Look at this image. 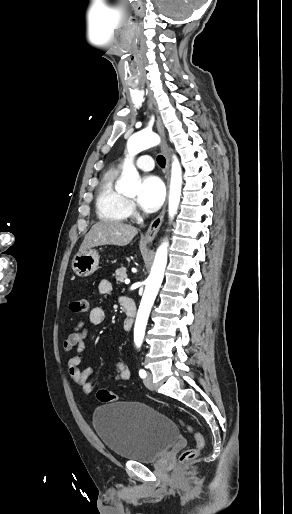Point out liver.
I'll return each mask as SVG.
<instances>
[{"mask_svg":"<svg viewBox=\"0 0 292 514\" xmlns=\"http://www.w3.org/2000/svg\"><path fill=\"white\" fill-rule=\"evenodd\" d=\"M136 234H138L137 228L123 222H97L86 234L80 246V252L96 246H106V244L127 246Z\"/></svg>","mask_w":292,"mask_h":514,"instance_id":"liver-1","label":"liver"}]
</instances>
